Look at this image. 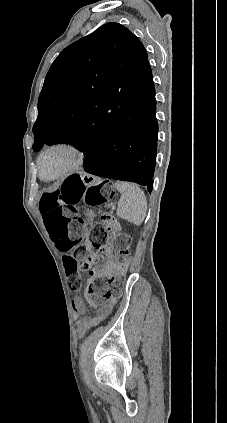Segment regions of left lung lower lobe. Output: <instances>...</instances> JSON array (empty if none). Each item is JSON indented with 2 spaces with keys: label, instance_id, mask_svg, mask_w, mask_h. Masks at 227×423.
Masks as SVG:
<instances>
[{
  "label": "left lung lower lobe",
  "instance_id": "obj_1",
  "mask_svg": "<svg viewBox=\"0 0 227 423\" xmlns=\"http://www.w3.org/2000/svg\"><path fill=\"white\" fill-rule=\"evenodd\" d=\"M154 85L139 113L113 111L99 122L96 132L69 144L85 155V171L93 175L131 181L153 188L158 123Z\"/></svg>",
  "mask_w": 227,
  "mask_h": 423
}]
</instances>
